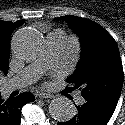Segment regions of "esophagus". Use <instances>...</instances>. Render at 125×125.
Returning <instances> with one entry per match:
<instances>
[{"mask_svg":"<svg viewBox=\"0 0 125 125\" xmlns=\"http://www.w3.org/2000/svg\"><path fill=\"white\" fill-rule=\"evenodd\" d=\"M37 96L40 98V99H44V98H53L54 96L49 94V93H45V92H41L39 94H37Z\"/></svg>","mask_w":125,"mask_h":125,"instance_id":"34e87169","label":"esophagus"}]
</instances>
